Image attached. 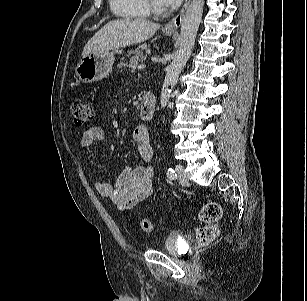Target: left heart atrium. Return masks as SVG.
Segmentation results:
<instances>
[{
    "instance_id": "39dd6f15",
    "label": "left heart atrium",
    "mask_w": 307,
    "mask_h": 301,
    "mask_svg": "<svg viewBox=\"0 0 307 301\" xmlns=\"http://www.w3.org/2000/svg\"><path fill=\"white\" fill-rule=\"evenodd\" d=\"M157 6L162 9H172L177 7L181 0H155Z\"/></svg>"
}]
</instances>
